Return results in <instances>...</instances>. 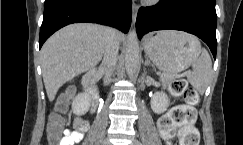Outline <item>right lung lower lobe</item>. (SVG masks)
<instances>
[{
  "label": "right lung lower lobe",
  "mask_w": 243,
  "mask_h": 145,
  "mask_svg": "<svg viewBox=\"0 0 243 145\" xmlns=\"http://www.w3.org/2000/svg\"><path fill=\"white\" fill-rule=\"evenodd\" d=\"M131 7V0H45L39 48L55 31L71 23H99L127 33Z\"/></svg>",
  "instance_id": "obj_1"
}]
</instances>
